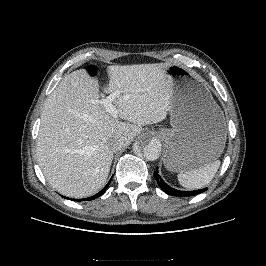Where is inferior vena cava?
<instances>
[{"instance_id": "1", "label": "inferior vena cava", "mask_w": 266, "mask_h": 266, "mask_svg": "<svg viewBox=\"0 0 266 266\" xmlns=\"http://www.w3.org/2000/svg\"><path fill=\"white\" fill-rule=\"evenodd\" d=\"M126 145L125 139L122 136H114L108 142V147L111 151L116 152L121 150Z\"/></svg>"}]
</instances>
